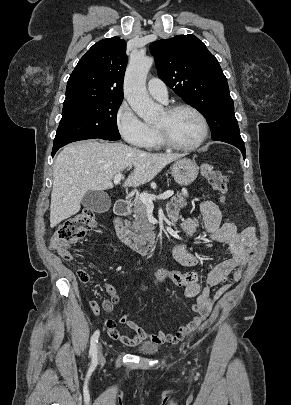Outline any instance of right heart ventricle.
Segmentation results:
<instances>
[{"mask_svg":"<svg viewBox=\"0 0 291 405\" xmlns=\"http://www.w3.org/2000/svg\"><path fill=\"white\" fill-rule=\"evenodd\" d=\"M163 146V144L161 143L157 130L156 128H153V135L152 138L148 144V148H153V149H159Z\"/></svg>","mask_w":291,"mask_h":405,"instance_id":"1","label":"right heart ventricle"}]
</instances>
